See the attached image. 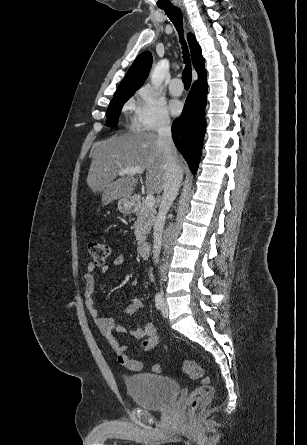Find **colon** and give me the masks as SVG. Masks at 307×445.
Segmentation results:
<instances>
[{"mask_svg": "<svg viewBox=\"0 0 307 445\" xmlns=\"http://www.w3.org/2000/svg\"><path fill=\"white\" fill-rule=\"evenodd\" d=\"M88 251L94 264L102 265L110 256L111 248L105 243H90L88 244ZM153 370L160 372V365H154ZM182 371L193 380L199 382V385L191 392L188 398L187 407L190 410L203 408L210 402L214 392L210 378L196 361L192 359H187L182 363Z\"/></svg>", "mask_w": 307, "mask_h": 445, "instance_id": "1", "label": "colon"}]
</instances>
